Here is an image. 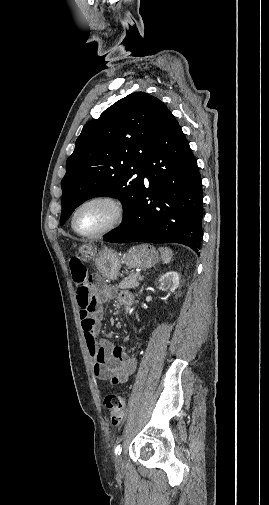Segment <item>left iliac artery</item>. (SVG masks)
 Here are the masks:
<instances>
[{"label":"left iliac artery","instance_id":"obj_1","mask_svg":"<svg viewBox=\"0 0 269 505\" xmlns=\"http://www.w3.org/2000/svg\"><path fill=\"white\" fill-rule=\"evenodd\" d=\"M121 453V445H117L116 448H115V455H120Z\"/></svg>","mask_w":269,"mask_h":505}]
</instances>
